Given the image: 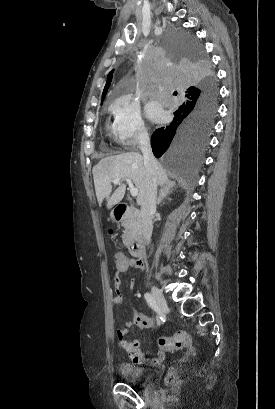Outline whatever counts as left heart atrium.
Returning a JSON list of instances; mask_svg holds the SVG:
<instances>
[{
  "label": "left heart atrium",
  "instance_id": "obj_1",
  "mask_svg": "<svg viewBox=\"0 0 275 409\" xmlns=\"http://www.w3.org/2000/svg\"><path fill=\"white\" fill-rule=\"evenodd\" d=\"M147 112H148L150 117L155 118L157 120H160L161 117H162L161 111L155 105H149L147 107Z\"/></svg>",
  "mask_w": 275,
  "mask_h": 409
}]
</instances>
